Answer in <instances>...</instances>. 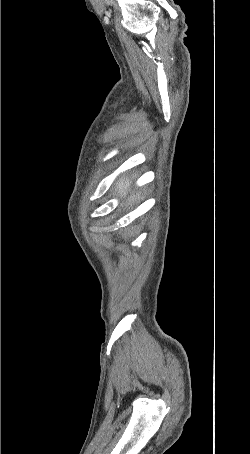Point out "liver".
Returning <instances> with one entry per match:
<instances>
[{
	"label": "liver",
	"mask_w": 250,
	"mask_h": 454,
	"mask_svg": "<svg viewBox=\"0 0 250 454\" xmlns=\"http://www.w3.org/2000/svg\"><path fill=\"white\" fill-rule=\"evenodd\" d=\"M131 186V181L128 177H121L115 184L118 195L126 196L129 188Z\"/></svg>",
	"instance_id": "6515ba94"
}]
</instances>
